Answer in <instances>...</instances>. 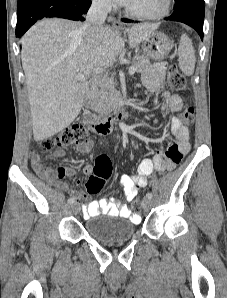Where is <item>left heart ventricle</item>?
<instances>
[{"instance_id": "left-heart-ventricle-1", "label": "left heart ventricle", "mask_w": 227, "mask_h": 298, "mask_svg": "<svg viewBox=\"0 0 227 298\" xmlns=\"http://www.w3.org/2000/svg\"><path fill=\"white\" fill-rule=\"evenodd\" d=\"M164 0H131L127 6L139 13H156L163 7Z\"/></svg>"}]
</instances>
